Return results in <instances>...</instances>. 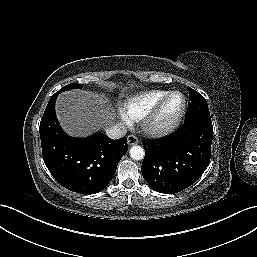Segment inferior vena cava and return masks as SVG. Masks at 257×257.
<instances>
[{
	"label": "inferior vena cava",
	"mask_w": 257,
	"mask_h": 257,
	"mask_svg": "<svg viewBox=\"0 0 257 257\" xmlns=\"http://www.w3.org/2000/svg\"><path fill=\"white\" fill-rule=\"evenodd\" d=\"M126 133H127L126 127L120 123L106 128V135L111 139H119L125 136Z\"/></svg>",
	"instance_id": "602c4592"
}]
</instances>
